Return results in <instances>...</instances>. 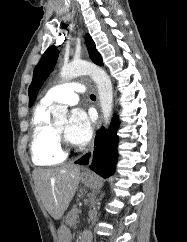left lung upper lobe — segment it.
<instances>
[{
	"mask_svg": "<svg viewBox=\"0 0 187 242\" xmlns=\"http://www.w3.org/2000/svg\"><path fill=\"white\" fill-rule=\"evenodd\" d=\"M87 49L91 60L97 65H103V60L96 50L95 43L89 34L86 35ZM58 58V50L55 46L49 47L43 54L41 60L34 69L33 79L29 86V106H32L39 89L41 88L48 75L52 72Z\"/></svg>",
	"mask_w": 187,
	"mask_h": 242,
	"instance_id": "left-lung-upper-lobe-1",
	"label": "left lung upper lobe"
}]
</instances>
